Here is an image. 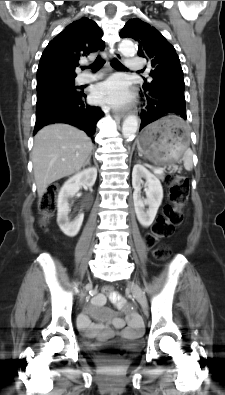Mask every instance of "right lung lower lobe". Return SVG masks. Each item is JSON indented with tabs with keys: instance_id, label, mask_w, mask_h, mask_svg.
<instances>
[{
	"instance_id": "1",
	"label": "right lung lower lobe",
	"mask_w": 225,
	"mask_h": 395,
	"mask_svg": "<svg viewBox=\"0 0 225 395\" xmlns=\"http://www.w3.org/2000/svg\"><path fill=\"white\" fill-rule=\"evenodd\" d=\"M103 116L99 107L86 103L83 92H57L36 104V123L33 134L51 123H68L84 130L90 137ZM93 140V138H92Z\"/></svg>"
}]
</instances>
